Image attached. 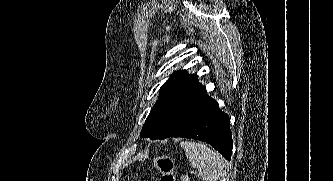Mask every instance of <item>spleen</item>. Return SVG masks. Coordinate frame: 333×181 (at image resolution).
<instances>
[{
	"label": "spleen",
	"mask_w": 333,
	"mask_h": 181,
	"mask_svg": "<svg viewBox=\"0 0 333 181\" xmlns=\"http://www.w3.org/2000/svg\"><path fill=\"white\" fill-rule=\"evenodd\" d=\"M180 146L202 181H217L223 176L224 159L220 154L199 142L183 141Z\"/></svg>",
	"instance_id": "1"
}]
</instances>
